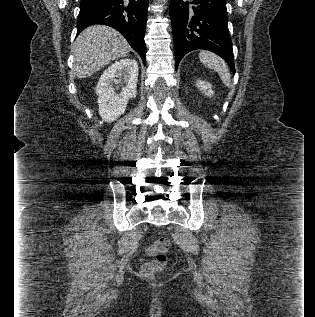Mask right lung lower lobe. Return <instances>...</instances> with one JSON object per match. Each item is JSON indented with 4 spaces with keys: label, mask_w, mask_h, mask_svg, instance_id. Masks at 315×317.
<instances>
[{
    "label": "right lung lower lobe",
    "mask_w": 315,
    "mask_h": 317,
    "mask_svg": "<svg viewBox=\"0 0 315 317\" xmlns=\"http://www.w3.org/2000/svg\"><path fill=\"white\" fill-rule=\"evenodd\" d=\"M148 0H81L77 33L94 24L113 27L129 42L146 64L144 34Z\"/></svg>",
    "instance_id": "98d812e1"
}]
</instances>
